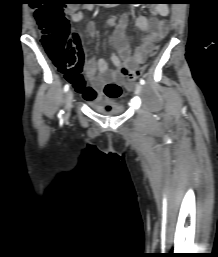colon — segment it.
<instances>
[{
  "label": "colon",
  "instance_id": "obj_1",
  "mask_svg": "<svg viewBox=\"0 0 218 257\" xmlns=\"http://www.w3.org/2000/svg\"><path fill=\"white\" fill-rule=\"evenodd\" d=\"M69 5H41L35 12L38 27L42 35L43 46L56 67L67 78L79 79L83 65L81 39L71 33L69 22L62 10H69ZM154 47L152 54H155ZM144 67H138L128 74L127 88L143 73ZM102 98H122L126 93L122 85L116 82L102 83Z\"/></svg>",
  "mask_w": 218,
  "mask_h": 257
}]
</instances>
